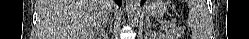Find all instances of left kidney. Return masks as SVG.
Segmentation results:
<instances>
[{
	"label": "left kidney",
	"mask_w": 249,
	"mask_h": 39,
	"mask_svg": "<svg viewBox=\"0 0 249 39\" xmlns=\"http://www.w3.org/2000/svg\"><path fill=\"white\" fill-rule=\"evenodd\" d=\"M168 37L162 35V34H154V39H167Z\"/></svg>",
	"instance_id": "left-kidney-1"
}]
</instances>
